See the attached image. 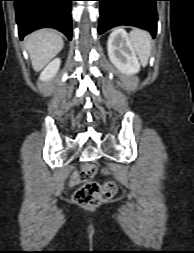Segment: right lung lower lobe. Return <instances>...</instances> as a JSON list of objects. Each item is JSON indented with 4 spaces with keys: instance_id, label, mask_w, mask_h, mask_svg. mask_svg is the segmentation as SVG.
<instances>
[{
    "instance_id": "right-lung-lower-lobe-1",
    "label": "right lung lower lobe",
    "mask_w": 194,
    "mask_h": 253,
    "mask_svg": "<svg viewBox=\"0 0 194 253\" xmlns=\"http://www.w3.org/2000/svg\"><path fill=\"white\" fill-rule=\"evenodd\" d=\"M19 36L40 28H55L72 38V0H13Z\"/></svg>"
}]
</instances>
